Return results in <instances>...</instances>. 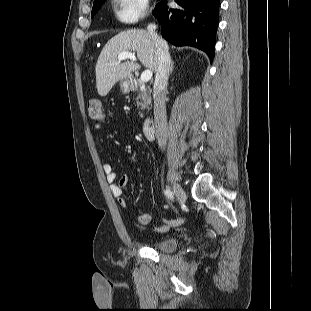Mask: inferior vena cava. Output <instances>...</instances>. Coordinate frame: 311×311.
Wrapping results in <instances>:
<instances>
[{
	"instance_id": "602c4592",
	"label": "inferior vena cava",
	"mask_w": 311,
	"mask_h": 311,
	"mask_svg": "<svg viewBox=\"0 0 311 311\" xmlns=\"http://www.w3.org/2000/svg\"><path fill=\"white\" fill-rule=\"evenodd\" d=\"M156 28L157 26L155 24H149L147 30L155 44L157 54V68L155 71V82L153 90L154 117L158 145L164 149L167 144V117L165 99L171 59L168 51V45L165 40L157 35L155 32Z\"/></svg>"
}]
</instances>
